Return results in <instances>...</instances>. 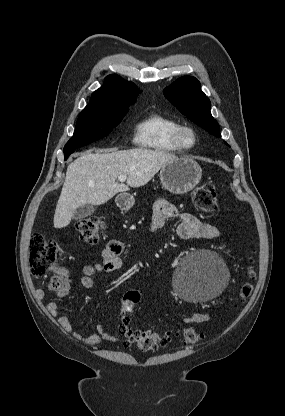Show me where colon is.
<instances>
[{
  "label": "colon",
  "mask_w": 285,
  "mask_h": 416,
  "mask_svg": "<svg viewBox=\"0 0 285 416\" xmlns=\"http://www.w3.org/2000/svg\"><path fill=\"white\" fill-rule=\"evenodd\" d=\"M195 206L204 212H214L218 207L215 187L210 183L198 186L192 194ZM105 227L104 221L99 217H86L76 223V230L89 244H95L99 240L100 233ZM61 247L54 240L47 239L42 234H34L30 240V272L33 276H43L49 270L54 275L51 277L49 287L57 291L64 284L63 269L56 265L61 256ZM248 275L253 278L254 271L249 269ZM251 282H246L240 289L241 298H247L252 292ZM140 301V293L137 290L126 292L121 304V323L118 334L127 346H133L141 351H156L169 345L171 337L167 334L133 330L129 327L130 315ZM181 340L185 345L198 342L201 334L193 328H185L181 332Z\"/></svg>",
  "instance_id": "1"
}]
</instances>
